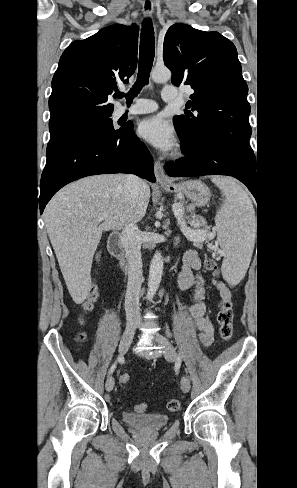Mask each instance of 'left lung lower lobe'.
Wrapping results in <instances>:
<instances>
[{
    "label": "left lung lower lobe",
    "mask_w": 297,
    "mask_h": 488,
    "mask_svg": "<svg viewBox=\"0 0 297 488\" xmlns=\"http://www.w3.org/2000/svg\"><path fill=\"white\" fill-rule=\"evenodd\" d=\"M182 149L184 158L165 164V171L169 176H233L248 187L258 202V177L256 178V159L253 152L216 142Z\"/></svg>",
    "instance_id": "1"
}]
</instances>
